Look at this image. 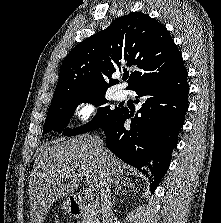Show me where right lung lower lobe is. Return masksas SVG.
<instances>
[{"mask_svg":"<svg viewBox=\"0 0 221 223\" xmlns=\"http://www.w3.org/2000/svg\"><path fill=\"white\" fill-rule=\"evenodd\" d=\"M188 73L184 67L169 78L142 84L134 89L142 107L136 114L121 108L100 127L106 146L124 162L149 175L155 191L170 165L171 152L177 146L178 133L188 109ZM131 119L129 126L124 122Z\"/></svg>","mask_w":221,"mask_h":223,"instance_id":"1","label":"right lung lower lobe"}]
</instances>
